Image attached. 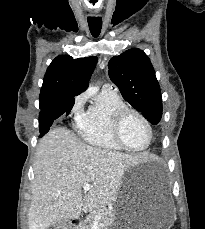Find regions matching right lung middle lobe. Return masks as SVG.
Returning <instances> with one entry per match:
<instances>
[{
	"label": "right lung middle lobe",
	"instance_id": "1",
	"mask_svg": "<svg viewBox=\"0 0 205 229\" xmlns=\"http://www.w3.org/2000/svg\"><path fill=\"white\" fill-rule=\"evenodd\" d=\"M71 98H73V97H71ZM50 105H51V104H50ZM50 105H49V106H50ZM47 107H48V106H45L43 103L40 102V109H41V110H43V109H45V108H47Z\"/></svg>",
	"mask_w": 205,
	"mask_h": 229
}]
</instances>
